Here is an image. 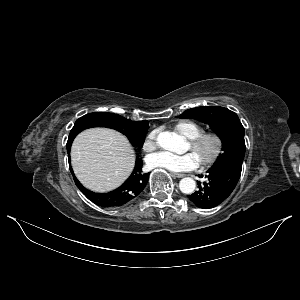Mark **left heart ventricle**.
<instances>
[{
    "label": "left heart ventricle",
    "instance_id": "1",
    "mask_svg": "<svg viewBox=\"0 0 300 300\" xmlns=\"http://www.w3.org/2000/svg\"><path fill=\"white\" fill-rule=\"evenodd\" d=\"M213 149H214V144L211 140L204 142L202 145H200L197 148H192L189 144L187 145L186 148L187 151H189L194 155L198 163L208 158L211 155Z\"/></svg>",
    "mask_w": 300,
    "mask_h": 300
}]
</instances>
